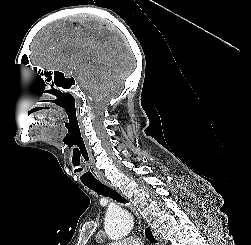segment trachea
Returning <instances> with one entry per match:
<instances>
[{
	"mask_svg": "<svg viewBox=\"0 0 251 245\" xmlns=\"http://www.w3.org/2000/svg\"><path fill=\"white\" fill-rule=\"evenodd\" d=\"M84 185L100 195H103L105 197H109V198L116 200L117 202H120V203H124V204L127 203V200L125 198H123L116 190L110 188L109 186L103 184L100 181L93 182V183H84ZM145 235L150 242L157 243L150 228L145 229Z\"/></svg>",
	"mask_w": 251,
	"mask_h": 245,
	"instance_id": "trachea-1",
	"label": "trachea"
}]
</instances>
